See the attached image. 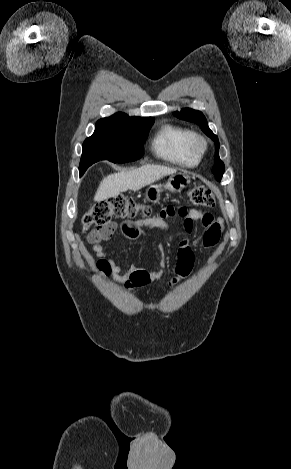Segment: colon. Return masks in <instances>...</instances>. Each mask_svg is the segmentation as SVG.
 Returning a JSON list of instances; mask_svg holds the SVG:
<instances>
[{
    "mask_svg": "<svg viewBox=\"0 0 291 469\" xmlns=\"http://www.w3.org/2000/svg\"><path fill=\"white\" fill-rule=\"evenodd\" d=\"M187 196L193 204L198 206L213 207L216 202L212 191L205 186H196L190 189ZM187 210L184 207L173 206L168 207L161 214L175 216L183 214ZM151 213V206L119 195L93 205L84 214L82 223L86 231L93 228L90 233L96 232V236H102L110 232L113 219H130L137 215L149 216ZM211 234H215V231L212 230Z\"/></svg>",
    "mask_w": 291,
    "mask_h": 469,
    "instance_id": "5ec220e1",
    "label": "colon"
}]
</instances>
